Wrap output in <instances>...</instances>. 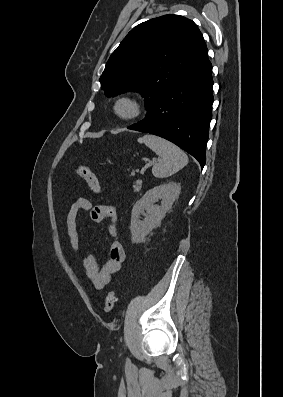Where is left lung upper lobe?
<instances>
[{
    "label": "left lung upper lobe",
    "mask_w": 283,
    "mask_h": 397,
    "mask_svg": "<svg viewBox=\"0 0 283 397\" xmlns=\"http://www.w3.org/2000/svg\"><path fill=\"white\" fill-rule=\"evenodd\" d=\"M207 58L208 49L197 25L180 15H164L127 34L106 63L101 87L108 97L139 92L148 110Z\"/></svg>",
    "instance_id": "5c2ea615"
}]
</instances>
